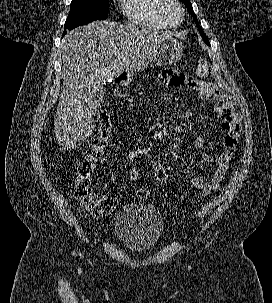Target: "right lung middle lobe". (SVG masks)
Masks as SVG:
<instances>
[{
    "label": "right lung middle lobe",
    "instance_id": "dd1d6c3e",
    "mask_svg": "<svg viewBox=\"0 0 272 303\" xmlns=\"http://www.w3.org/2000/svg\"><path fill=\"white\" fill-rule=\"evenodd\" d=\"M109 12V0H72L64 33L95 20H104Z\"/></svg>",
    "mask_w": 272,
    "mask_h": 303
}]
</instances>
